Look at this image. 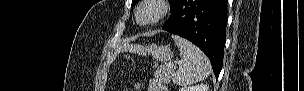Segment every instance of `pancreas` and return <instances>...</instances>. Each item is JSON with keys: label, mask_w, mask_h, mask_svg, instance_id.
<instances>
[{"label": "pancreas", "mask_w": 304, "mask_h": 91, "mask_svg": "<svg viewBox=\"0 0 304 91\" xmlns=\"http://www.w3.org/2000/svg\"><path fill=\"white\" fill-rule=\"evenodd\" d=\"M173 71L168 66H159L154 72L155 78L163 83H168L170 78H172Z\"/></svg>", "instance_id": "pancreas-1"}]
</instances>
